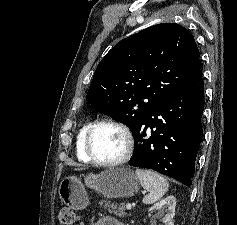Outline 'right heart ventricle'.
Listing matches in <instances>:
<instances>
[{
	"label": "right heart ventricle",
	"mask_w": 237,
	"mask_h": 225,
	"mask_svg": "<svg viewBox=\"0 0 237 225\" xmlns=\"http://www.w3.org/2000/svg\"><path fill=\"white\" fill-rule=\"evenodd\" d=\"M91 123L86 122L84 123L78 130L77 132V136H76V156L78 158V160L88 163L90 162V159L88 158V156L85 153L84 150V140H85V135L86 132L88 130V128L90 127Z\"/></svg>",
	"instance_id": "right-heart-ventricle-1"
}]
</instances>
